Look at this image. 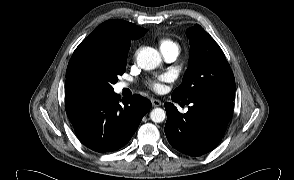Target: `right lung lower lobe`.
I'll return each mask as SVG.
<instances>
[{"mask_svg": "<svg viewBox=\"0 0 294 180\" xmlns=\"http://www.w3.org/2000/svg\"><path fill=\"white\" fill-rule=\"evenodd\" d=\"M150 108L151 102L138 94L121 101L114 91L66 98L65 103L80 141L99 153L126 145Z\"/></svg>", "mask_w": 294, "mask_h": 180, "instance_id": "obj_1", "label": "right lung lower lobe"}]
</instances>
